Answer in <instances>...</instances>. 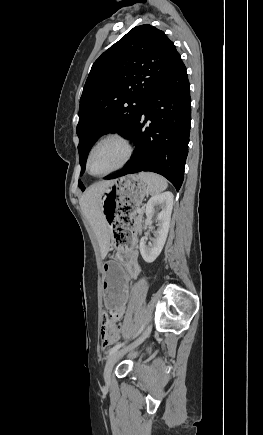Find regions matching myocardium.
I'll return each mask as SVG.
<instances>
[{
  "label": "myocardium",
  "mask_w": 263,
  "mask_h": 435,
  "mask_svg": "<svg viewBox=\"0 0 263 435\" xmlns=\"http://www.w3.org/2000/svg\"><path fill=\"white\" fill-rule=\"evenodd\" d=\"M107 141H116V142L120 143L124 147V150H125L124 158H123L122 162L119 165H117L116 167H114L113 169H111V170H109V171H107L105 173H102V174H93L90 171V159H91V156H92L94 150L100 144H102L104 142H107ZM133 153H134V146H133L132 142L127 137H125V136H123L121 134H118V133L107 134V135L101 137L99 140H97L93 144L91 149L89 150L87 158H86V171L88 172V174H90L91 176H94V177H105V176H108V175H110V174H112V173L122 169L130 161V159L133 156Z\"/></svg>",
  "instance_id": "1"
}]
</instances>
